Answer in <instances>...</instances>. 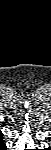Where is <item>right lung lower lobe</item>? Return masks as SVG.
Listing matches in <instances>:
<instances>
[{"mask_svg": "<svg viewBox=\"0 0 51 150\" xmlns=\"http://www.w3.org/2000/svg\"><path fill=\"white\" fill-rule=\"evenodd\" d=\"M1 148H2V149H6L5 144H4V143H2V142H1Z\"/></svg>", "mask_w": 51, "mask_h": 150, "instance_id": "right-lung-lower-lobe-1", "label": "right lung lower lobe"}]
</instances>
